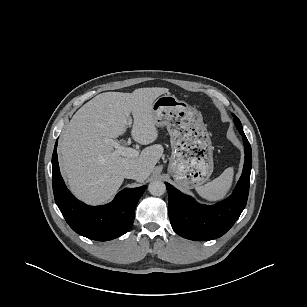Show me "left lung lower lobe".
I'll return each instance as SVG.
<instances>
[{
  "label": "left lung lower lobe",
  "instance_id": "obj_1",
  "mask_svg": "<svg viewBox=\"0 0 307 307\" xmlns=\"http://www.w3.org/2000/svg\"><path fill=\"white\" fill-rule=\"evenodd\" d=\"M241 135L245 146L243 172L233 193L224 201L212 206L201 205L169 183H165L170 222L173 230L180 236L199 241L219 238L233 226L244 210L249 194L252 152L245 134Z\"/></svg>",
  "mask_w": 307,
  "mask_h": 307
}]
</instances>
